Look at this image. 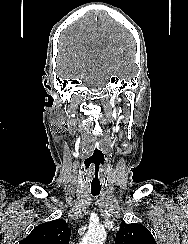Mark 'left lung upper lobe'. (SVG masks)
<instances>
[{"instance_id": "left-lung-upper-lobe-1", "label": "left lung upper lobe", "mask_w": 188, "mask_h": 244, "mask_svg": "<svg viewBox=\"0 0 188 244\" xmlns=\"http://www.w3.org/2000/svg\"><path fill=\"white\" fill-rule=\"evenodd\" d=\"M116 244H157L150 231L143 225L124 221L116 233Z\"/></svg>"}]
</instances>
